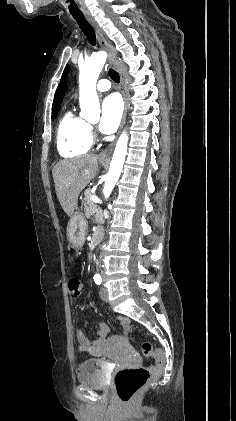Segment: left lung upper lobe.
<instances>
[{
	"instance_id": "obj_1",
	"label": "left lung upper lobe",
	"mask_w": 236,
	"mask_h": 421,
	"mask_svg": "<svg viewBox=\"0 0 236 421\" xmlns=\"http://www.w3.org/2000/svg\"><path fill=\"white\" fill-rule=\"evenodd\" d=\"M68 69H69V66H67L66 68H65V70H64V72H63V75H62V79H61V82L64 80V78L67 76V74H68Z\"/></svg>"
}]
</instances>
